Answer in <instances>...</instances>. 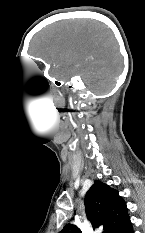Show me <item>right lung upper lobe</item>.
<instances>
[{
  "label": "right lung upper lobe",
  "instance_id": "obj_1",
  "mask_svg": "<svg viewBox=\"0 0 145 233\" xmlns=\"http://www.w3.org/2000/svg\"><path fill=\"white\" fill-rule=\"evenodd\" d=\"M85 209L92 226H102L103 233H114L129 219L126 203L118 191L100 181H95L88 190ZM59 233H81V230L75 225L67 224Z\"/></svg>",
  "mask_w": 145,
  "mask_h": 233
}]
</instances>
